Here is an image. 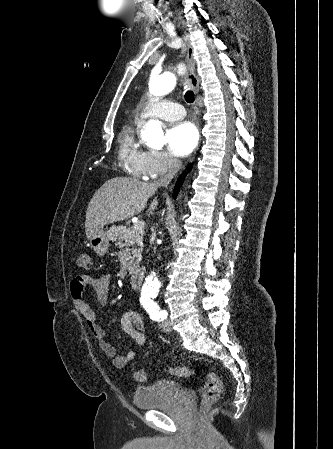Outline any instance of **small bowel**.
<instances>
[{"mask_svg": "<svg viewBox=\"0 0 333 449\" xmlns=\"http://www.w3.org/2000/svg\"><path fill=\"white\" fill-rule=\"evenodd\" d=\"M110 276L103 274L92 277L89 274L77 275L71 282L70 293L76 310L82 316L86 327L97 341L101 351L113 360V364L118 368L125 367L133 360L135 353L129 351L119 355L115 348L108 342L104 330L98 323L96 314L85 297L86 288L93 289L97 301L104 305L109 299ZM121 328L128 334L137 346H144L146 343V324L143 317L136 311H127L121 318Z\"/></svg>", "mask_w": 333, "mask_h": 449, "instance_id": "c3829d8e", "label": "small bowel"}]
</instances>
